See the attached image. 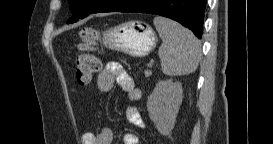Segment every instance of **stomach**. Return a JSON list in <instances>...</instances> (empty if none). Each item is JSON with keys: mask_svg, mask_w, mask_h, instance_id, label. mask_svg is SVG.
<instances>
[{"mask_svg": "<svg viewBox=\"0 0 273 144\" xmlns=\"http://www.w3.org/2000/svg\"><path fill=\"white\" fill-rule=\"evenodd\" d=\"M155 32L141 22H126L103 33V45L133 57L147 56L156 47Z\"/></svg>", "mask_w": 273, "mask_h": 144, "instance_id": "1", "label": "stomach"}]
</instances>
